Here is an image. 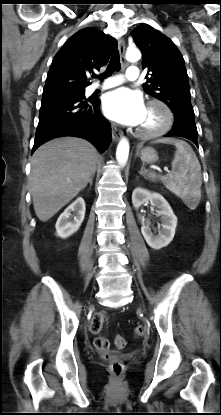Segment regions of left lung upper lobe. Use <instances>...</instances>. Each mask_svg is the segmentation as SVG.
<instances>
[{
	"label": "left lung upper lobe",
	"mask_w": 221,
	"mask_h": 415,
	"mask_svg": "<svg viewBox=\"0 0 221 415\" xmlns=\"http://www.w3.org/2000/svg\"><path fill=\"white\" fill-rule=\"evenodd\" d=\"M131 35L142 52L143 69H148L145 92L179 113H194L189 78L183 56L168 37L149 25L135 28Z\"/></svg>",
	"instance_id": "obj_1"
}]
</instances>
